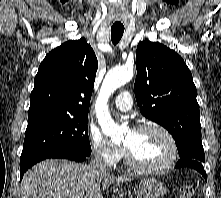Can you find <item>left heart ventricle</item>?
<instances>
[{
  "instance_id": "1",
  "label": "left heart ventricle",
  "mask_w": 221,
  "mask_h": 198,
  "mask_svg": "<svg viewBox=\"0 0 221 198\" xmlns=\"http://www.w3.org/2000/svg\"><path fill=\"white\" fill-rule=\"evenodd\" d=\"M134 159L143 166L163 164L170 155L167 138L157 129L148 128L139 132L130 131L123 142Z\"/></svg>"
}]
</instances>
